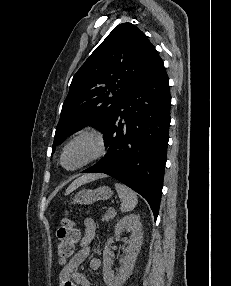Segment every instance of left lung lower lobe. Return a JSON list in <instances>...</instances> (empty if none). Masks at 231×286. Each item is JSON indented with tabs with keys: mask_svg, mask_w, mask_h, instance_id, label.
<instances>
[{
	"mask_svg": "<svg viewBox=\"0 0 231 286\" xmlns=\"http://www.w3.org/2000/svg\"><path fill=\"white\" fill-rule=\"evenodd\" d=\"M169 80L160 59L118 103L103 131L108 153L83 173H105L149 203L158 216L170 125ZM125 120V123H122Z\"/></svg>",
	"mask_w": 231,
	"mask_h": 286,
	"instance_id": "0a47b994",
	"label": "left lung lower lobe"
}]
</instances>
